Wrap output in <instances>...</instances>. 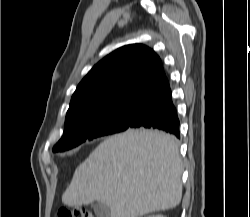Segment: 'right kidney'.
Listing matches in <instances>:
<instances>
[{"label":"right kidney","instance_id":"ca27d5eb","mask_svg":"<svg viewBox=\"0 0 250 217\" xmlns=\"http://www.w3.org/2000/svg\"><path fill=\"white\" fill-rule=\"evenodd\" d=\"M148 217H165L163 215H152V216H148Z\"/></svg>","mask_w":250,"mask_h":217}]
</instances>
